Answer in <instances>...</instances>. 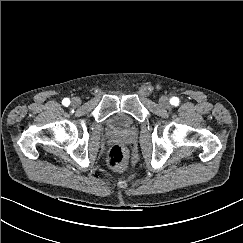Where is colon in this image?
Here are the masks:
<instances>
[{"mask_svg":"<svg viewBox=\"0 0 243 243\" xmlns=\"http://www.w3.org/2000/svg\"><path fill=\"white\" fill-rule=\"evenodd\" d=\"M107 163L114 170H123L127 163V154L121 145L112 146L107 155Z\"/></svg>","mask_w":243,"mask_h":243,"instance_id":"obj_1","label":"colon"}]
</instances>
